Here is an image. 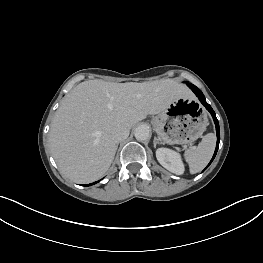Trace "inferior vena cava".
<instances>
[{"label": "inferior vena cava", "instance_id": "1", "mask_svg": "<svg viewBox=\"0 0 263 263\" xmlns=\"http://www.w3.org/2000/svg\"><path fill=\"white\" fill-rule=\"evenodd\" d=\"M129 136V129L125 126L118 125L112 130V138L118 143Z\"/></svg>", "mask_w": 263, "mask_h": 263}]
</instances>
